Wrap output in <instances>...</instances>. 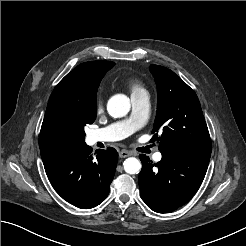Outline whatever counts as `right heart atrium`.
<instances>
[{
    "label": "right heart atrium",
    "mask_w": 246,
    "mask_h": 246,
    "mask_svg": "<svg viewBox=\"0 0 246 246\" xmlns=\"http://www.w3.org/2000/svg\"><path fill=\"white\" fill-rule=\"evenodd\" d=\"M103 106H104L103 99H102L101 96H99L97 98V102H96V110H97V112H101L103 110Z\"/></svg>",
    "instance_id": "d8ad5b80"
}]
</instances>
